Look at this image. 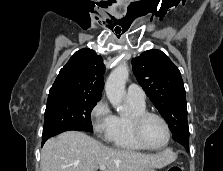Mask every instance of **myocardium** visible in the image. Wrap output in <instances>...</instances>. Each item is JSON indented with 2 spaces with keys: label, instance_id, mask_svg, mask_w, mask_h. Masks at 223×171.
Returning a JSON list of instances; mask_svg holds the SVG:
<instances>
[{
  "label": "myocardium",
  "instance_id": "myocardium-1",
  "mask_svg": "<svg viewBox=\"0 0 223 171\" xmlns=\"http://www.w3.org/2000/svg\"><path fill=\"white\" fill-rule=\"evenodd\" d=\"M149 117H156L158 118L165 126L166 131H167V138L166 141L164 142L163 145L160 147H151L149 146L143 139L141 129L144 121L149 118ZM130 127H131V132L136 140V142L142 146L144 149L151 150V151H159L164 149L170 142L171 140V128L167 120L159 113L156 112H151V111H143L140 113H135L130 117Z\"/></svg>",
  "mask_w": 223,
  "mask_h": 171
}]
</instances>
